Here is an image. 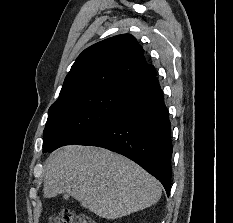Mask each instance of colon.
I'll list each match as a JSON object with an SVG mask.
<instances>
[{
    "label": "colon",
    "instance_id": "1",
    "mask_svg": "<svg viewBox=\"0 0 233 223\" xmlns=\"http://www.w3.org/2000/svg\"><path fill=\"white\" fill-rule=\"evenodd\" d=\"M49 223H94V221L84 215H77L70 209L64 208L58 217H51Z\"/></svg>",
    "mask_w": 233,
    "mask_h": 223
}]
</instances>
